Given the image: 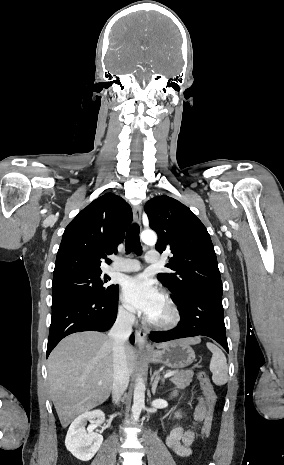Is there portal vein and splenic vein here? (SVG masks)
<instances>
[{"label": "portal vein and splenic vein", "instance_id": "1", "mask_svg": "<svg viewBox=\"0 0 284 465\" xmlns=\"http://www.w3.org/2000/svg\"><path fill=\"white\" fill-rule=\"evenodd\" d=\"M175 373H177V371H171V373H166V375H164V379H167V377H172V375H175Z\"/></svg>", "mask_w": 284, "mask_h": 465}]
</instances>
